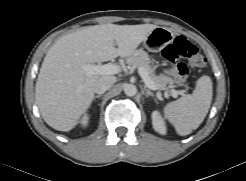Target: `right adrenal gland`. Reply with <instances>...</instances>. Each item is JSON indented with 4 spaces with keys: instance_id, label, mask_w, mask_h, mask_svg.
<instances>
[{
    "instance_id": "1",
    "label": "right adrenal gland",
    "mask_w": 246,
    "mask_h": 181,
    "mask_svg": "<svg viewBox=\"0 0 246 181\" xmlns=\"http://www.w3.org/2000/svg\"><path fill=\"white\" fill-rule=\"evenodd\" d=\"M100 97H102V95H101V94L96 95V96H94V97H93V100L95 101V99L100 98Z\"/></svg>"
}]
</instances>
